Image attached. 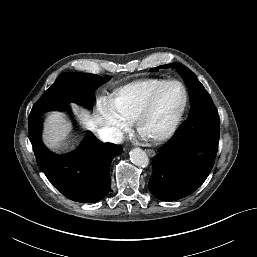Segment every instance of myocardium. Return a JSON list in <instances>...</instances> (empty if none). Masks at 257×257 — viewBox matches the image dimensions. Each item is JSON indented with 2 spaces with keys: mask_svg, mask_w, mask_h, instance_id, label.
<instances>
[{
  "mask_svg": "<svg viewBox=\"0 0 257 257\" xmlns=\"http://www.w3.org/2000/svg\"><path fill=\"white\" fill-rule=\"evenodd\" d=\"M173 84L179 85L183 91L184 97H183V102H182L180 108L178 109V111L176 112V114L174 115V117L172 118L170 123L168 124V126L163 131H161L160 133L155 134V135L146 134L143 131V123H144L145 119L148 117V115L154 109V107H155L161 93L164 91V89ZM187 104H188V92H187L185 85L182 82H180L178 80H168V81L164 82L163 84H161L159 87H157L153 91V93L150 95L148 100L145 102V104L142 106V108L137 113V115L135 117V124H136L137 131L144 139H146L152 143H159V142L166 140L177 129V127L185 113Z\"/></svg>",
  "mask_w": 257,
  "mask_h": 257,
  "instance_id": "f54148a6",
  "label": "myocardium"
}]
</instances>
